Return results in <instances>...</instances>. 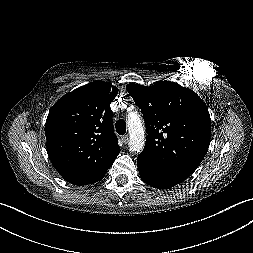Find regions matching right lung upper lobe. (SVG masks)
Here are the masks:
<instances>
[{"instance_id":"right-lung-upper-lobe-1","label":"right lung upper lobe","mask_w":253,"mask_h":253,"mask_svg":"<svg viewBox=\"0 0 253 253\" xmlns=\"http://www.w3.org/2000/svg\"><path fill=\"white\" fill-rule=\"evenodd\" d=\"M118 89L95 81L60 98L49 111L45 135L48 156L74 185L102 179L120 152L110 103Z\"/></svg>"}]
</instances>
